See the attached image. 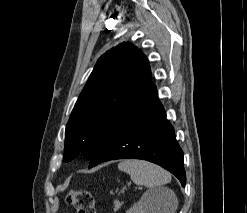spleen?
I'll use <instances>...</instances> for the list:
<instances>
[{
    "label": "spleen",
    "mask_w": 247,
    "mask_h": 213,
    "mask_svg": "<svg viewBox=\"0 0 247 213\" xmlns=\"http://www.w3.org/2000/svg\"><path fill=\"white\" fill-rule=\"evenodd\" d=\"M118 169L130 175L131 180L137 185L149 188L159 187L171 181V175L163 168L143 160H125L118 164ZM177 208V202L171 213Z\"/></svg>",
    "instance_id": "obj_1"
}]
</instances>
